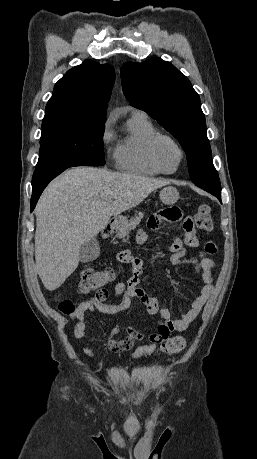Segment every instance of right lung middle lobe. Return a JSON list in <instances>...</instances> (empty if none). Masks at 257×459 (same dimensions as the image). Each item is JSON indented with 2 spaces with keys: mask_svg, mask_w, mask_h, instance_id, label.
Wrapping results in <instances>:
<instances>
[{
  "mask_svg": "<svg viewBox=\"0 0 257 459\" xmlns=\"http://www.w3.org/2000/svg\"><path fill=\"white\" fill-rule=\"evenodd\" d=\"M104 123L59 114L45 115L36 169L72 161L104 165Z\"/></svg>",
  "mask_w": 257,
  "mask_h": 459,
  "instance_id": "right-lung-middle-lobe-1",
  "label": "right lung middle lobe"
}]
</instances>
